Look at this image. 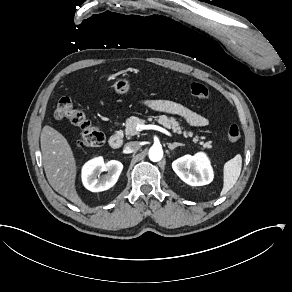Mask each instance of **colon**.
Listing matches in <instances>:
<instances>
[{
	"instance_id": "obj_1",
	"label": "colon",
	"mask_w": 292,
	"mask_h": 292,
	"mask_svg": "<svg viewBox=\"0 0 292 292\" xmlns=\"http://www.w3.org/2000/svg\"><path fill=\"white\" fill-rule=\"evenodd\" d=\"M191 93L200 99H208L209 90L201 83H193L190 87ZM54 116L57 119L66 120L73 125L83 129L77 138L79 147H96L104 142L105 135L102 130L89 118L84 110L73 102L69 97H62L55 108ZM241 137L240 128L231 125L228 128V138L230 141H238Z\"/></svg>"
}]
</instances>
